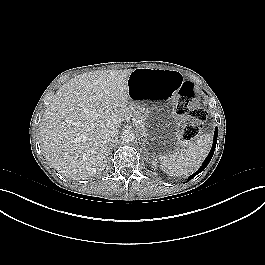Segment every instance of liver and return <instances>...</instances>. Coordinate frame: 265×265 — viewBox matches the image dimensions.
Returning a JSON list of instances; mask_svg holds the SVG:
<instances>
[{"label": "liver", "mask_w": 265, "mask_h": 265, "mask_svg": "<svg viewBox=\"0 0 265 265\" xmlns=\"http://www.w3.org/2000/svg\"><path fill=\"white\" fill-rule=\"evenodd\" d=\"M132 71L85 73L53 96L41 122V147L65 177L87 179L104 170L109 148L101 129L118 128L131 110L127 82Z\"/></svg>", "instance_id": "6515ba94"}]
</instances>
